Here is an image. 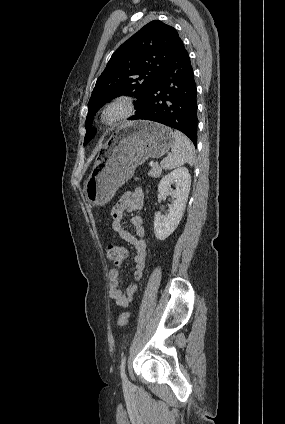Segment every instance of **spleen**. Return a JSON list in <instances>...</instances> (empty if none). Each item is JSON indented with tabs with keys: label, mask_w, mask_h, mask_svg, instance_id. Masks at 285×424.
<instances>
[{
	"label": "spleen",
	"mask_w": 285,
	"mask_h": 424,
	"mask_svg": "<svg viewBox=\"0 0 285 424\" xmlns=\"http://www.w3.org/2000/svg\"><path fill=\"white\" fill-rule=\"evenodd\" d=\"M174 144L171 155L161 161L164 169H173L189 163L193 165L195 148L190 139L180 131L173 132Z\"/></svg>",
	"instance_id": "spleen-1"
}]
</instances>
